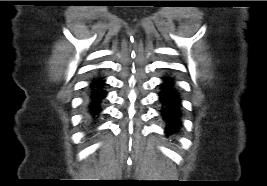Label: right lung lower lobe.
<instances>
[{
    "instance_id": "obj_1",
    "label": "right lung lower lobe",
    "mask_w": 267,
    "mask_h": 186,
    "mask_svg": "<svg viewBox=\"0 0 267 186\" xmlns=\"http://www.w3.org/2000/svg\"><path fill=\"white\" fill-rule=\"evenodd\" d=\"M105 80L103 77H95L91 80L87 96L85 98L86 118L95 122L102 112V102L107 96L105 91Z\"/></svg>"
}]
</instances>
